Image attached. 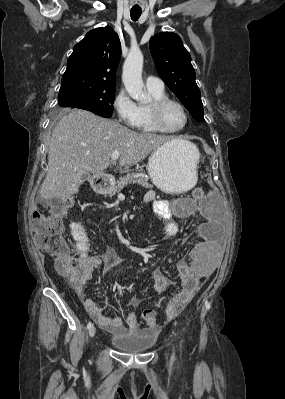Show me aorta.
Segmentation results:
<instances>
[{
  "label": "aorta",
  "mask_w": 285,
  "mask_h": 399,
  "mask_svg": "<svg viewBox=\"0 0 285 399\" xmlns=\"http://www.w3.org/2000/svg\"><path fill=\"white\" fill-rule=\"evenodd\" d=\"M142 67V52L139 49H132L123 65L122 80L130 97L139 103L149 100V96L143 91Z\"/></svg>",
  "instance_id": "obj_1"
}]
</instances>
